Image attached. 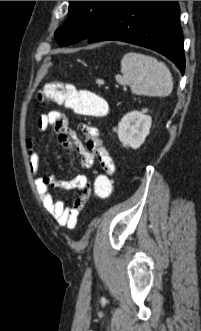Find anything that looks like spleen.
I'll return each mask as SVG.
<instances>
[{
    "label": "spleen",
    "instance_id": "1",
    "mask_svg": "<svg viewBox=\"0 0 201 331\" xmlns=\"http://www.w3.org/2000/svg\"><path fill=\"white\" fill-rule=\"evenodd\" d=\"M119 84L129 85L132 93L147 96H168L173 89V78L166 64L144 54L129 52L121 60Z\"/></svg>",
    "mask_w": 201,
    "mask_h": 331
}]
</instances>
